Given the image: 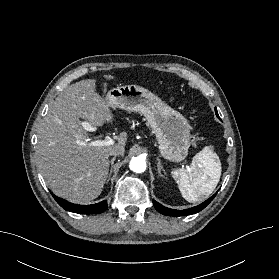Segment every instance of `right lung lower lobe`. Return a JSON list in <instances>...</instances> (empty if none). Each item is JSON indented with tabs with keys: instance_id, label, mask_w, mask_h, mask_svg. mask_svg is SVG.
Returning a JSON list of instances; mask_svg holds the SVG:
<instances>
[{
	"instance_id": "obj_1",
	"label": "right lung lower lobe",
	"mask_w": 279,
	"mask_h": 279,
	"mask_svg": "<svg viewBox=\"0 0 279 279\" xmlns=\"http://www.w3.org/2000/svg\"><path fill=\"white\" fill-rule=\"evenodd\" d=\"M54 199L57 201V203L63 207L67 211H71L74 213L79 214H97L105 211L107 209V201L104 200L102 202H99L94 205H76L73 203H70L62 198L57 197L56 195L52 194Z\"/></svg>"
}]
</instances>
